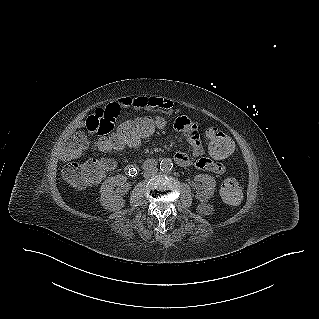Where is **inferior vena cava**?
<instances>
[{
    "label": "inferior vena cava",
    "mask_w": 319,
    "mask_h": 319,
    "mask_svg": "<svg viewBox=\"0 0 319 319\" xmlns=\"http://www.w3.org/2000/svg\"><path fill=\"white\" fill-rule=\"evenodd\" d=\"M157 171H158L157 168H151V169L147 170V171L144 173V177H150V176L156 174Z\"/></svg>",
    "instance_id": "602c4592"
}]
</instances>
